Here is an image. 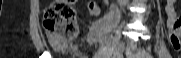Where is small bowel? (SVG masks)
I'll return each mask as SVG.
<instances>
[{
    "label": "small bowel",
    "mask_w": 181,
    "mask_h": 58,
    "mask_svg": "<svg viewBox=\"0 0 181 58\" xmlns=\"http://www.w3.org/2000/svg\"><path fill=\"white\" fill-rule=\"evenodd\" d=\"M87 8L90 13L98 14L99 7L93 1H88ZM166 14H167V28L169 32V40L172 47L176 51L181 50V16L178 14L176 9V1L168 0L166 5ZM96 37L94 34L89 36V42L95 43Z\"/></svg>",
    "instance_id": "obj_1"
}]
</instances>
